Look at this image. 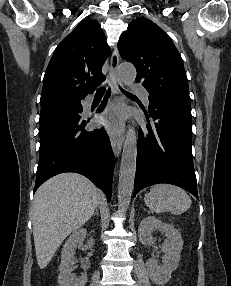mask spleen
<instances>
[{"instance_id": "3e777b00", "label": "spleen", "mask_w": 231, "mask_h": 286, "mask_svg": "<svg viewBox=\"0 0 231 286\" xmlns=\"http://www.w3.org/2000/svg\"><path fill=\"white\" fill-rule=\"evenodd\" d=\"M145 204L156 213L171 212L180 215L191 206L189 195L180 187L169 184H157L145 194Z\"/></svg>"}]
</instances>
